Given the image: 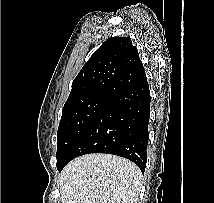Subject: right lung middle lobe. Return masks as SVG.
<instances>
[{
	"label": "right lung middle lobe",
	"mask_w": 214,
	"mask_h": 203,
	"mask_svg": "<svg viewBox=\"0 0 214 203\" xmlns=\"http://www.w3.org/2000/svg\"><path fill=\"white\" fill-rule=\"evenodd\" d=\"M110 98L106 94L94 93L65 103L57 132V168L67 160L77 140Z\"/></svg>",
	"instance_id": "obj_1"
}]
</instances>
